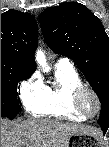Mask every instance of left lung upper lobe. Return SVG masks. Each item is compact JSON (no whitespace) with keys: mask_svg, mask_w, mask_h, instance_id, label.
Segmentation results:
<instances>
[{"mask_svg":"<svg viewBox=\"0 0 109 147\" xmlns=\"http://www.w3.org/2000/svg\"><path fill=\"white\" fill-rule=\"evenodd\" d=\"M40 25L47 45L72 59L101 101L99 125H109V37L84 5L65 2L46 8Z\"/></svg>","mask_w":109,"mask_h":147,"instance_id":"obj_1","label":"left lung upper lobe"}]
</instances>
